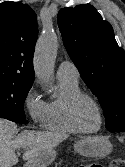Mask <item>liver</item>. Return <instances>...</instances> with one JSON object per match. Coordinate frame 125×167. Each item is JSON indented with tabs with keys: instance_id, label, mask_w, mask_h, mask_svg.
<instances>
[{
	"instance_id": "liver-1",
	"label": "liver",
	"mask_w": 125,
	"mask_h": 167,
	"mask_svg": "<svg viewBox=\"0 0 125 167\" xmlns=\"http://www.w3.org/2000/svg\"><path fill=\"white\" fill-rule=\"evenodd\" d=\"M15 123L0 119V167H12L18 163L16 149H24L23 160L29 161L45 150L53 149L68 137L57 132L24 130L17 134Z\"/></svg>"
}]
</instances>
